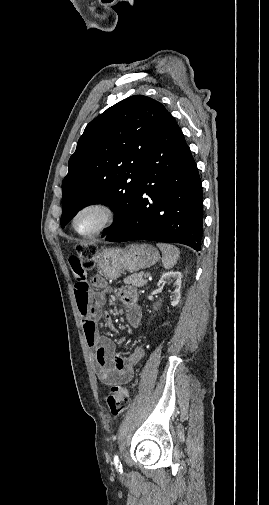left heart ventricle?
Masks as SVG:
<instances>
[{"label": "left heart ventricle", "mask_w": 269, "mask_h": 505, "mask_svg": "<svg viewBox=\"0 0 269 505\" xmlns=\"http://www.w3.org/2000/svg\"><path fill=\"white\" fill-rule=\"evenodd\" d=\"M106 214L102 209L91 208L82 212L76 220V228L83 233L98 228L105 220Z\"/></svg>", "instance_id": "1"}]
</instances>
